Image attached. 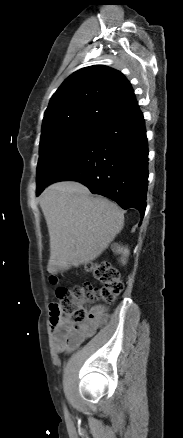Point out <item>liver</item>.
I'll use <instances>...</instances> for the list:
<instances>
[{
    "mask_svg": "<svg viewBox=\"0 0 183 438\" xmlns=\"http://www.w3.org/2000/svg\"><path fill=\"white\" fill-rule=\"evenodd\" d=\"M50 236L48 271L56 273L95 260L120 233L124 213L73 181L46 188L40 198Z\"/></svg>",
    "mask_w": 183,
    "mask_h": 438,
    "instance_id": "obj_1",
    "label": "liver"
}]
</instances>
